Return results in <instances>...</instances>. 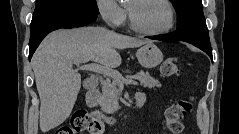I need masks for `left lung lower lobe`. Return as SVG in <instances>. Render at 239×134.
<instances>
[{"instance_id":"0a47b994","label":"left lung lower lobe","mask_w":239,"mask_h":134,"mask_svg":"<svg viewBox=\"0 0 239 134\" xmlns=\"http://www.w3.org/2000/svg\"><path fill=\"white\" fill-rule=\"evenodd\" d=\"M147 38L161 41H185L203 50L212 59L208 29L188 28L168 34L148 36Z\"/></svg>"}]
</instances>
